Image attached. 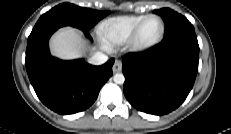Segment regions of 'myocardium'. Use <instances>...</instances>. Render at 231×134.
Returning a JSON list of instances; mask_svg holds the SVG:
<instances>
[{"mask_svg":"<svg viewBox=\"0 0 231 134\" xmlns=\"http://www.w3.org/2000/svg\"><path fill=\"white\" fill-rule=\"evenodd\" d=\"M158 19L161 23V30L160 33L158 34V36L150 41V42H142L140 39L141 36V32L145 26V24L150 20V19ZM165 33V23L163 21V19L156 14H150L147 15L145 18H143L139 24L136 26V28L134 29L133 33L131 34L130 38L127 41V49L130 52H135V53H140V52H145L150 50L151 48H153L154 46H156L161 39L163 38Z\"/></svg>","mask_w":231,"mask_h":134,"instance_id":"f54148a6","label":"myocardium"}]
</instances>
